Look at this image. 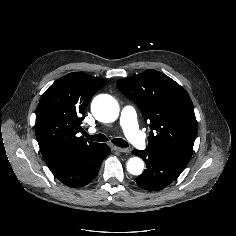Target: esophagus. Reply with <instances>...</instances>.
I'll use <instances>...</instances> for the list:
<instances>
[{
	"label": "esophagus",
	"mask_w": 236,
	"mask_h": 236,
	"mask_svg": "<svg viewBox=\"0 0 236 236\" xmlns=\"http://www.w3.org/2000/svg\"><path fill=\"white\" fill-rule=\"evenodd\" d=\"M112 149H113L114 151L123 152V153H128V152H129V149H127V148H121V147H117V146H113Z\"/></svg>",
	"instance_id": "esophagus-1"
}]
</instances>
